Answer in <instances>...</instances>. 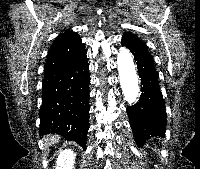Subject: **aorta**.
Returning <instances> with one entry per match:
<instances>
[{
    "instance_id": "1",
    "label": "aorta",
    "mask_w": 200,
    "mask_h": 169,
    "mask_svg": "<svg viewBox=\"0 0 200 169\" xmlns=\"http://www.w3.org/2000/svg\"><path fill=\"white\" fill-rule=\"evenodd\" d=\"M117 65L124 98L128 104L132 105L139 95V80L132 54L125 47L119 50Z\"/></svg>"
}]
</instances>
